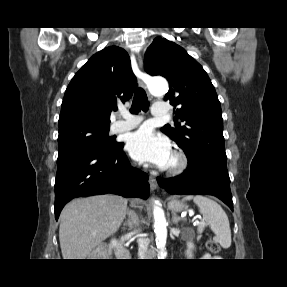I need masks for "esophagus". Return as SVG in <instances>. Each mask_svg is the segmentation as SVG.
<instances>
[{
    "instance_id": "esophagus-1",
    "label": "esophagus",
    "mask_w": 287,
    "mask_h": 287,
    "mask_svg": "<svg viewBox=\"0 0 287 287\" xmlns=\"http://www.w3.org/2000/svg\"><path fill=\"white\" fill-rule=\"evenodd\" d=\"M139 67L140 69H142V60L139 59ZM144 73L140 70L137 74V78H138V81L140 83V85L146 90V84L144 82ZM149 185H150V188L152 190H156L157 187H158V183H157V180L154 176H149Z\"/></svg>"
}]
</instances>
